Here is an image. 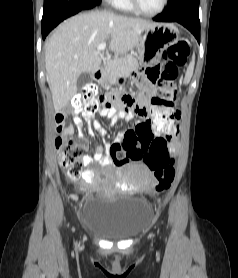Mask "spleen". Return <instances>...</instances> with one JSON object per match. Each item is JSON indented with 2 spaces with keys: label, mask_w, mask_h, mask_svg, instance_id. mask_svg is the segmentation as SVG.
I'll return each instance as SVG.
<instances>
[{
  "label": "spleen",
  "mask_w": 238,
  "mask_h": 278,
  "mask_svg": "<svg viewBox=\"0 0 238 278\" xmlns=\"http://www.w3.org/2000/svg\"><path fill=\"white\" fill-rule=\"evenodd\" d=\"M194 65H195V56L193 55L192 61L190 62L189 66L187 68L186 74H185V78H184L185 84H188L192 78Z\"/></svg>",
  "instance_id": "spleen-1"
}]
</instances>
